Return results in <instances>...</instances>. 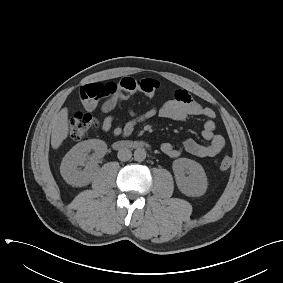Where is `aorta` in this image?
<instances>
[{
    "instance_id": "obj_1",
    "label": "aorta",
    "mask_w": 283,
    "mask_h": 283,
    "mask_svg": "<svg viewBox=\"0 0 283 283\" xmlns=\"http://www.w3.org/2000/svg\"><path fill=\"white\" fill-rule=\"evenodd\" d=\"M146 158V151L144 148H137L134 151V159L138 162L144 161Z\"/></svg>"
}]
</instances>
